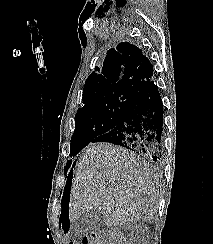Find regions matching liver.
I'll return each instance as SVG.
<instances>
[{
  "instance_id": "6515ba94",
  "label": "liver",
  "mask_w": 213,
  "mask_h": 244,
  "mask_svg": "<svg viewBox=\"0 0 213 244\" xmlns=\"http://www.w3.org/2000/svg\"><path fill=\"white\" fill-rule=\"evenodd\" d=\"M160 198L152 166L125 148L93 144L79 159L72 180L69 218L74 222L86 212L99 211L108 226L150 222Z\"/></svg>"
}]
</instances>
